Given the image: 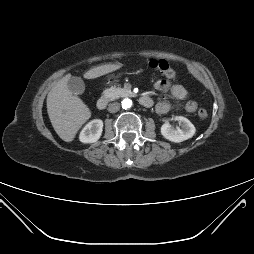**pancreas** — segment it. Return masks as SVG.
<instances>
[{"instance_id":"pancreas-1","label":"pancreas","mask_w":254,"mask_h":254,"mask_svg":"<svg viewBox=\"0 0 254 254\" xmlns=\"http://www.w3.org/2000/svg\"><path fill=\"white\" fill-rule=\"evenodd\" d=\"M130 93L128 92L127 89L125 88H120V87H110L107 88L103 91V96L107 98L109 101L115 100L119 97L129 95Z\"/></svg>"}]
</instances>
